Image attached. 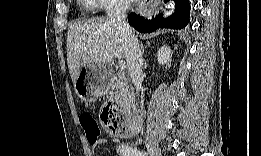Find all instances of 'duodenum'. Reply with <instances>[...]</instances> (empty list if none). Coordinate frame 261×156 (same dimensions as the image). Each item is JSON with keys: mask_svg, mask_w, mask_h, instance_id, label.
<instances>
[{"mask_svg": "<svg viewBox=\"0 0 261 156\" xmlns=\"http://www.w3.org/2000/svg\"><path fill=\"white\" fill-rule=\"evenodd\" d=\"M113 104L121 108L125 113L130 111V102L127 99L116 100Z\"/></svg>", "mask_w": 261, "mask_h": 156, "instance_id": "duodenum-1", "label": "duodenum"}]
</instances>
